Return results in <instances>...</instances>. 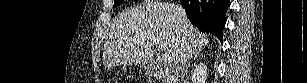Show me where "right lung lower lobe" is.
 <instances>
[{"label":"right lung lower lobe","instance_id":"obj_1","mask_svg":"<svg viewBox=\"0 0 307 83\" xmlns=\"http://www.w3.org/2000/svg\"><path fill=\"white\" fill-rule=\"evenodd\" d=\"M189 20L200 31L212 33L222 42L230 0H181Z\"/></svg>","mask_w":307,"mask_h":83}]
</instances>
